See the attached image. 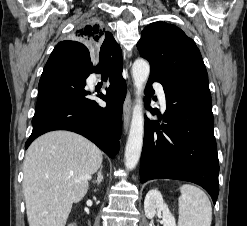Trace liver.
Here are the masks:
<instances>
[{"label": "liver", "mask_w": 247, "mask_h": 226, "mask_svg": "<svg viewBox=\"0 0 247 226\" xmlns=\"http://www.w3.org/2000/svg\"><path fill=\"white\" fill-rule=\"evenodd\" d=\"M102 160L100 149L76 133L53 131L37 138L23 165L29 226H65Z\"/></svg>", "instance_id": "6515ba94"}]
</instances>
